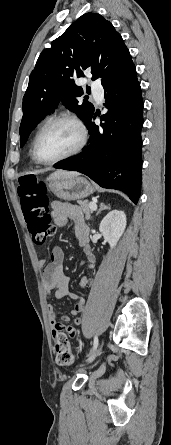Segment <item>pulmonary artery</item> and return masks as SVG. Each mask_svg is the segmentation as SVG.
<instances>
[{
	"label": "pulmonary artery",
	"instance_id": "obj_1",
	"mask_svg": "<svg viewBox=\"0 0 171 445\" xmlns=\"http://www.w3.org/2000/svg\"><path fill=\"white\" fill-rule=\"evenodd\" d=\"M91 88H92V91L94 94L98 95L99 97L102 96L103 91H102V88L100 87L99 83L93 82L91 84Z\"/></svg>",
	"mask_w": 171,
	"mask_h": 445
}]
</instances>
